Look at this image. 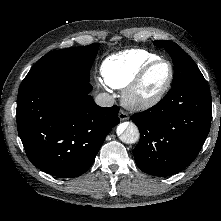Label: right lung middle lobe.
<instances>
[{
  "mask_svg": "<svg viewBox=\"0 0 221 221\" xmlns=\"http://www.w3.org/2000/svg\"><path fill=\"white\" fill-rule=\"evenodd\" d=\"M98 44L56 50L43 56L22 81L19 91L51 83L88 82Z\"/></svg>",
  "mask_w": 221,
  "mask_h": 221,
  "instance_id": "1",
  "label": "right lung middle lobe"
}]
</instances>
